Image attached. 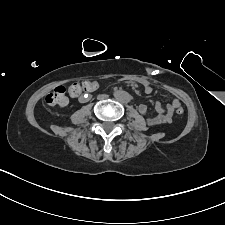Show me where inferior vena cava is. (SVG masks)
<instances>
[{
    "label": "inferior vena cava",
    "instance_id": "obj_1",
    "mask_svg": "<svg viewBox=\"0 0 225 225\" xmlns=\"http://www.w3.org/2000/svg\"><path fill=\"white\" fill-rule=\"evenodd\" d=\"M108 97V95H106V94H102V95H99V99H105V98H107Z\"/></svg>",
    "mask_w": 225,
    "mask_h": 225
}]
</instances>
